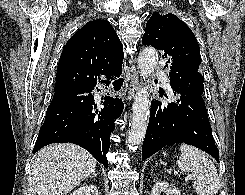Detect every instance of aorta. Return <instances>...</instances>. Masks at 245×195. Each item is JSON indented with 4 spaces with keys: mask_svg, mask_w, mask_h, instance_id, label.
Here are the masks:
<instances>
[{
    "mask_svg": "<svg viewBox=\"0 0 245 195\" xmlns=\"http://www.w3.org/2000/svg\"><path fill=\"white\" fill-rule=\"evenodd\" d=\"M157 64V52L153 47L143 49L137 59L138 69L144 80L154 72ZM150 112L149 93L146 87L140 88L134 97L131 123L128 132L129 150L135 152L142 143L148 126Z\"/></svg>",
    "mask_w": 245,
    "mask_h": 195,
    "instance_id": "1",
    "label": "aorta"
}]
</instances>
